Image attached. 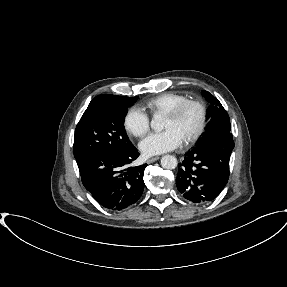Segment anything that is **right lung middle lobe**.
I'll list each match as a JSON object with an SVG mask.
<instances>
[{"label": "right lung middle lobe", "mask_w": 287, "mask_h": 287, "mask_svg": "<svg viewBox=\"0 0 287 287\" xmlns=\"http://www.w3.org/2000/svg\"><path fill=\"white\" fill-rule=\"evenodd\" d=\"M137 99L105 95L86 109L74 135V156L78 167L96 154L126 153L134 148L126 134L124 119L128 107Z\"/></svg>", "instance_id": "right-lung-middle-lobe-1"}]
</instances>
